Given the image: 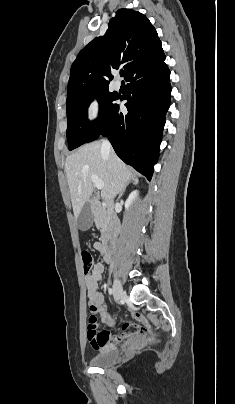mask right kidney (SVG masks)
Listing matches in <instances>:
<instances>
[{"label":"right kidney","mask_w":235,"mask_h":404,"mask_svg":"<svg viewBox=\"0 0 235 404\" xmlns=\"http://www.w3.org/2000/svg\"><path fill=\"white\" fill-rule=\"evenodd\" d=\"M138 191H133L125 202V208L128 210L133 201L137 198Z\"/></svg>","instance_id":"obj_1"}]
</instances>
